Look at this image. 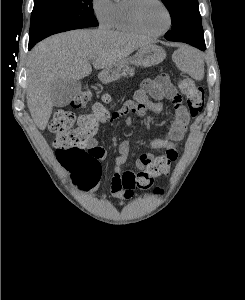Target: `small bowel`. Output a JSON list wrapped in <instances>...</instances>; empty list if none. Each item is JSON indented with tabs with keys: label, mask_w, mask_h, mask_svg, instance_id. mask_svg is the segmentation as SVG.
I'll list each match as a JSON object with an SVG mask.
<instances>
[{
	"label": "small bowel",
	"mask_w": 245,
	"mask_h": 300,
	"mask_svg": "<svg viewBox=\"0 0 245 300\" xmlns=\"http://www.w3.org/2000/svg\"><path fill=\"white\" fill-rule=\"evenodd\" d=\"M166 99L171 100L174 105V117L165 136L156 137L150 141L149 146L153 152L144 153L137 158V172L124 169L130 156V147L127 141H122L119 144V155L115 159L110 178L109 192L102 194L99 199L103 200L110 196L130 198L136 189L135 179L139 173H147L151 177H156L172 171L170 163L177 158V149L187 132L190 115L182 101L181 94L166 74L145 79L134 93V99L125 102L122 107L114 111L109 116V121L116 122L125 119L126 123L131 125L132 114L140 117L148 113L158 114L162 111L163 101ZM89 147L99 152V161L106 157V151L96 140L92 139ZM158 151H163V153L154 154Z\"/></svg>",
	"instance_id": "1"
}]
</instances>
